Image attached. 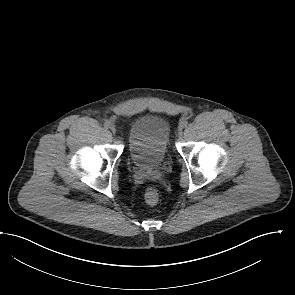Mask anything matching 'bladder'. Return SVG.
<instances>
[{
	"mask_svg": "<svg viewBox=\"0 0 295 295\" xmlns=\"http://www.w3.org/2000/svg\"><path fill=\"white\" fill-rule=\"evenodd\" d=\"M170 131V124L162 115H140L127 135V150L133 164L138 168L159 166L168 152Z\"/></svg>",
	"mask_w": 295,
	"mask_h": 295,
	"instance_id": "31cf9c89",
	"label": "bladder"
}]
</instances>
